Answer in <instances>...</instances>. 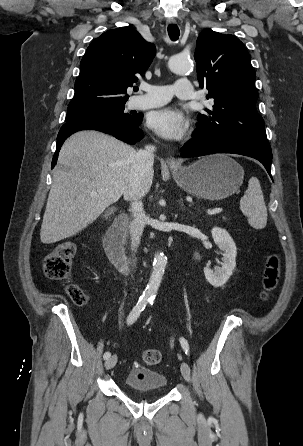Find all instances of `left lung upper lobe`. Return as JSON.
Listing matches in <instances>:
<instances>
[{"label": "left lung upper lobe", "instance_id": "5c2ea615", "mask_svg": "<svg viewBox=\"0 0 303 446\" xmlns=\"http://www.w3.org/2000/svg\"><path fill=\"white\" fill-rule=\"evenodd\" d=\"M194 58L200 88L214 101L213 110L198 114L197 131L268 142L256 109V75L244 44L233 35L207 29L197 39Z\"/></svg>", "mask_w": 303, "mask_h": 446}]
</instances>
